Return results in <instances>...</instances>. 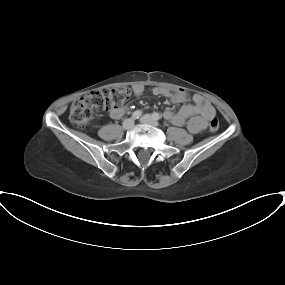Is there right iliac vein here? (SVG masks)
I'll use <instances>...</instances> for the list:
<instances>
[{
  "instance_id": "right-iliac-vein-1",
  "label": "right iliac vein",
  "mask_w": 285,
  "mask_h": 285,
  "mask_svg": "<svg viewBox=\"0 0 285 285\" xmlns=\"http://www.w3.org/2000/svg\"><path fill=\"white\" fill-rule=\"evenodd\" d=\"M135 122L133 119H127L123 122V128L124 129H130L134 126Z\"/></svg>"
}]
</instances>
